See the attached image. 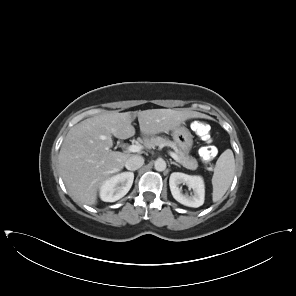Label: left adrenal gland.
<instances>
[{
  "instance_id": "obj_1",
  "label": "left adrenal gland",
  "mask_w": 296,
  "mask_h": 296,
  "mask_svg": "<svg viewBox=\"0 0 296 296\" xmlns=\"http://www.w3.org/2000/svg\"><path fill=\"white\" fill-rule=\"evenodd\" d=\"M170 163L173 164V165H176V166H178V167H181L178 163H176V162H174V161H172V160H170Z\"/></svg>"
}]
</instances>
